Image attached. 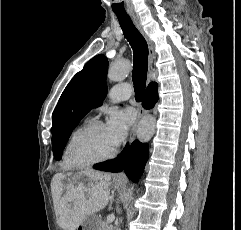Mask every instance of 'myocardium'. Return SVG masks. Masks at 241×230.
<instances>
[{
    "label": "myocardium",
    "instance_id": "f54148a6",
    "mask_svg": "<svg viewBox=\"0 0 241 230\" xmlns=\"http://www.w3.org/2000/svg\"><path fill=\"white\" fill-rule=\"evenodd\" d=\"M102 126H105V124L100 120L90 121L87 124H85L74 136L70 144L69 154H70L71 161L76 167H88L99 163L107 162L113 159L117 155L118 150L115 148L111 153L103 157L87 159V160H83L79 157L78 149L82 141L85 139L87 135H89L95 129Z\"/></svg>",
    "mask_w": 241,
    "mask_h": 230
}]
</instances>
